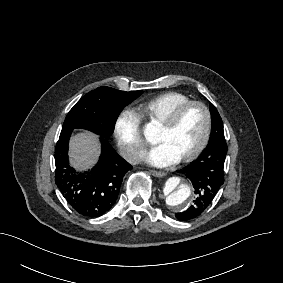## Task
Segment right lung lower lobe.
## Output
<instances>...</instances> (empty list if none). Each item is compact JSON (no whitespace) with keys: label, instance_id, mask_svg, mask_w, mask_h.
<instances>
[{"label":"right lung lower lobe","instance_id":"right-lung-lower-lobe-1","mask_svg":"<svg viewBox=\"0 0 283 283\" xmlns=\"http://www.w3.org/2000/svg\"><path fill=\"white\" fill-rule=\"evenodd\" d=\"M73 129L62 130L55 147V182L69 205L80 215L98 217L117 200L125 173L132 169L101 137L98 163L86 172H76L68 160V143Z\"/></svg>","mask_w":283,"mask_h":283}]
</instances>
